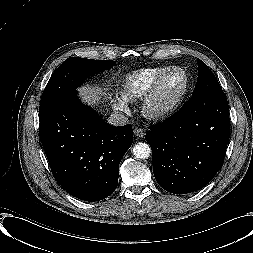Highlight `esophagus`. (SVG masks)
<instances>
[{
	"mask_svg": "<svg viewBox=\"0 0 253 253\" xmlns=\"http://www.w3.org/2000/svg\"><path fill=\"white\" fill-rule=\"evenodd\" d=\"M133 133L136 137L142 138L145 135V130L139 127H135Z\"/></svg>",
	"mask_w": 253,
	"mask_h": 253,
	"instance_id": "34e87169",
	"label": "esophagus"
}]
</instances>
